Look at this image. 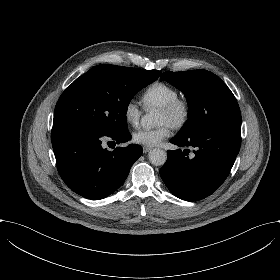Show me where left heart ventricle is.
Wrapping results in <instances>:
<instances>
[{
  "label": "left heart ventricle",
  "mask_w": 280,
  "mask_h": 280,
  "mask_svg": "<svg viewBox=\"0 0 280 280\" xmlns=\"http://www.w3.org/2000/svg\"><path fill=\"white\" fill-rule=\"evenodd\" d=\"M174 118H175V115L173 113L166 112L159 108L158 114H157V124H160L165 121L173 124Z\"/></svg>",
  "instance_id": "left-heart-ventricle-1"
}]
</instances>
